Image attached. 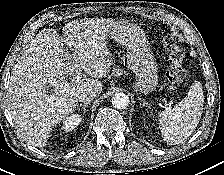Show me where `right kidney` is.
<instances>
[{"label": "right kidney", "mask_w": 224, "mask_h": 175, "mask_svg": "<svg viewBox=\"0 0 224 175\" xmlns=\"http://www.w3.org/2000/svg\"><path fill=\"white\" fill-rule=\"evenodd\" d=\"M82 121L81 115L73 114L63 120L62 129L65 132L74 130Z\"/></svg>", "instance_id": "ca27d5eb"}]
</instances>
